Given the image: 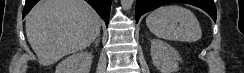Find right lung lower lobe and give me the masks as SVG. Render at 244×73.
<instances>
[{
	"label": "right lung lower lobe",
	"mask_w": 244,
	"mask_h": 73,
	"mask_svg": "<svg viewBox=\"0 0 244 73\" xmlns=\"http://www.w3.org/2000/svg\"><path fill=\"white\" fill-rule=\"evenodd\" d=\"M38 1L39 0H26L24 10H23V18L25 17V15L29 13V11ZM85 1H87L97 11L100 17L105 21L107 26L109 22V14H110L112 0H85Z\"/></svg>",
	"instance_id": "right-lung-lower-lobe-1"
}]
</instances>
